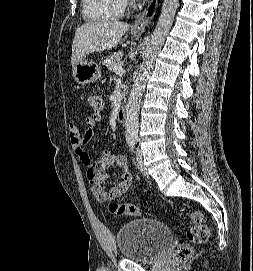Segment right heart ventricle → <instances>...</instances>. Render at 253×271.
I'll return each instance as SVG.
<instances>
[{
	"label": "right heart ventricle",
	"mask_w": 253,
	"mask_h": 271,
	"mask_svg": "<svg viewBox=\"0 0 253 271\" xmlns=\"http://www.w3.org/2000/svg\"><path fill=\"white\" fill-rule=\"evenodd\" d=\"M125 0H82L84 16L91 22H107L120 18Z\"/></svg>",
	"instance_id": "obj_1"
}]
</instances>
